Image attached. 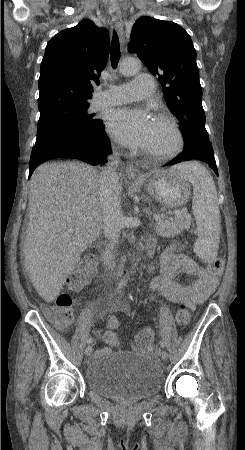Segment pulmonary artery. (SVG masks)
I'll return each mask as SVG.
<instances>
[{
	"instance_id": "1",
	"label": "pulmonary artery",
	"mask_w": 245,
	"mask_h": 450,
	"mask_svg": "<svg viewBox=\"0 0 245 450\" xmlns=\"http://www.w3.org/2000/svg\"><path fill=\"white\" fill-rule=\"evenodd\" d=\"M154 79L143 74L130 82L112 85L107 90L97 93L96 102L99 106H109L132 102L154 94Z\"/></svg>"
}]
</instances>
